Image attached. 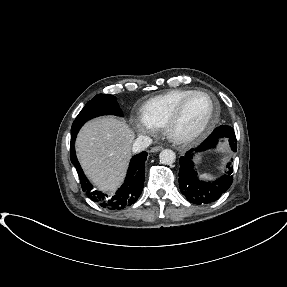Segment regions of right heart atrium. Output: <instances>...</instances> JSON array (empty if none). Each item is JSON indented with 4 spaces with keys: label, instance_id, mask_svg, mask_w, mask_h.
Here are the masks:
<instances>
[{
    "label": "right heart atrium",
    "instance_id": "obj_1",
    "mask_svg": "<svg viewBox=\"0 0 287 287\" xmlns=\"http://www.w3.org/2000/svg\"><path fill=\"white\" fill-rule=\"evenodd\" d=\"M134 123L138 131L145 135H152L156 132L157 127L152 123L144 119L141 114L134 117Z\"/></svg>",
    "mask_w": 287,
    "mask_h": 287
}]
</instances>
